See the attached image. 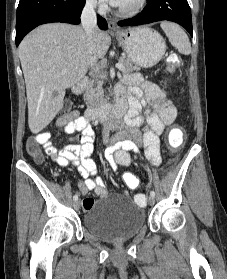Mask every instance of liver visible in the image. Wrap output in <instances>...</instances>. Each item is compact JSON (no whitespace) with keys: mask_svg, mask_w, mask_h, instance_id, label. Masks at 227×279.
Returning <instances> with one entry per match:
<instances>
[{"mask_svg":"<svg viewBox=\"0 0 227 279\" xmlns=\"http://www.w3.org/2000/svg\"><path fill=\"white\" fill-rule=\"evenodd\" d=\"M94 40L97 59H102L111 38L97 28ZM18 53L26 83L28 125L36 134L58 114L66 89L80 81L90 68L86 35L79 26L44 24L22 40Z\"/></svg>","mask_w":227,"mask_h":279,"instance_id":"6515ba94","label":"liver"}]
</instances>
